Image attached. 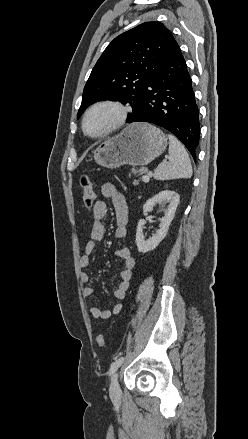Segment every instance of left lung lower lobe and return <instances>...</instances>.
Returning <instances> with one entry per match:
<instances>
[{"label":"left lung lower lobe","mask_w":248,"mask_h":439,"mask_svg":"<svg viewBox=\"0 0 248 439\" xmlns=\"http://www.w3.org/2000/svg\"><path fill=\"white\" fill-rule=\"evenodd\" d=\"M127 122H149L167 129L182 141L196 161L199 111L178 44L149 82L138 110Z\"/></svg>","instance_id":"1"}]
</instances>
